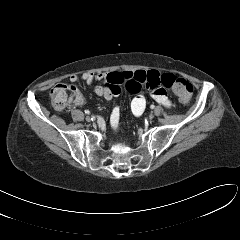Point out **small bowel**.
Wrapping results in <instances>:
<instances>
[{"mask_svg": "<svg viewBox=\"0 0 240 240\" xmlns=\"http://www.w3.org/2000/svg\"><path fill=\"white\" fill-rule=\"evenodd\" d=\"M80 77L88 84L96 81H101V85H97L94 89L98 96L110 101L113 97L120 94V86L124 84L127 90L134 95L131 101V111L139 117L143 114L146 108V99L140 94L142 89L149 91L150 96L159 104L170 107L171 101L168 98L165 87L161 82V75L156 70H137L124 72H109V73H92L85 72L81 76L78 74H71L69 80L77 82ZM74 105H82L84 103L83 96L78 92L72 99ZM121 110L116 106L111 113V124L116 128L119 124Z\"/></svg>", "mask_w": 240, "mask_h": 240, "instance_id": "c3829d8e", "label": "small bowel"}]
</instances>
